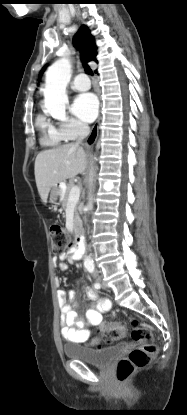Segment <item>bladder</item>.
<instances>
[{
	"instance_id": "31cf9c89",
	"label": "bladder",
	"mask_w": 187,
	"mask_h": 415,
	"mask_svg": "<svg viewBox=\"0 0 187 415\" xmlns=\"http://www.w3.org/2000/svg\"><path fill=\"white\" fill-rule=\"evenodd\" d=\"M123 344H116L100 350H93L81 345H65L64 354L69 359H77L95 367L105 368L124 351Z\"/></svg>"
}]
</instances>
